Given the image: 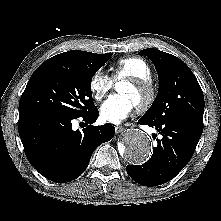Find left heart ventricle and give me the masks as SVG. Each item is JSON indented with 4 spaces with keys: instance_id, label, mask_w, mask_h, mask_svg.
I'll return each instance as SVG.
<instances>
[{
    "instance_id": "b2bd125f",
    "label": "left heart ventricle",
    "mask_w": 221,
    "mask_h": 221,
    "mask_svg": "<svg viewBox=\"0 0 221 221\" xmlns=\"http://www.w3.org/2000/svg\"><path fill=\"white\" fill-rule=\"evenodd\" d=\"M118 92L121 94H125L129 96L132 102L137 106L141 101L144 100L145 93L135 87H133L129 83H122L119 88Z\"/></svg>"
}]
</instances>
